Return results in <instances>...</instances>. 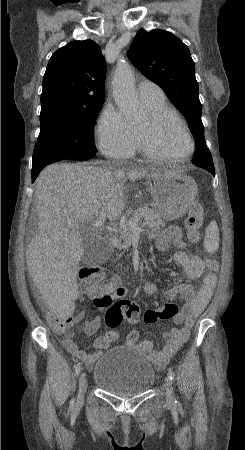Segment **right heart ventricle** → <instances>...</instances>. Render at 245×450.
<instances>
[{
	"mask_svg": "<svg viewBox=\"0 0 245 450\" xmlns=\"http://www.w3.org/2000/svg\"><path fill=\"white\" fill-rule=\"evenodd\" d=\"M146 107L148 108V110L150 111V113H154V112H158V111H163V110H168L173 112L177 117L178 114L176 113V111L174 109H172L166 102V100H162V101H157V102H152V103H145ZM138 135V132H137ZM138 147H140V141H139V136H138Z\"/></svg>",
	"mask_w": 245,
	"mask_h": 450,
	"instance_id": "e07e8e85",
	"label": "right heart ventricle"
}]
</instances>
